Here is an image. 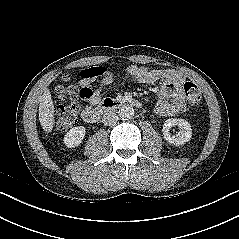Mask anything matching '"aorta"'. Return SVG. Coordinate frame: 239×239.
<instances>
[{"instance_id":"obj_1","label":"aorta","mask_w":239,"mask_h":239,"mask_svg":"<svg viewBox=\"0 0 239 239\" xmlns=\"http://www.w3.org/2000/svg\"><path fill=\"white\" fill-rule=\"evenodd\" d=\"M119 116L123 120H129L134 116V109L132 106L124 105L119 110Z\"/></svg>"}]
</instances>
